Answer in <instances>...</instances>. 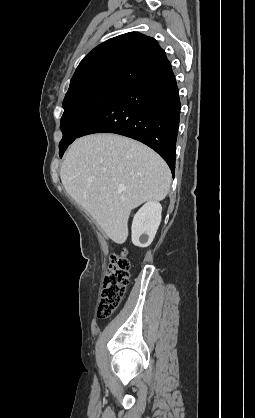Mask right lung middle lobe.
I'll list each match as a JSON object with an SVG mask.
<instances>
[{"instance_id":"1","label":"right lung middle lobe","mask_w":255,"mask_h":418,"mask_svg":"<svg viewBox=\"0 0 255 418\" xmlns=\"http://www.w3.org/2000/svg\"><path fill=\"white\" fill-rule=\"evenodd\" d=\"M125 87L126 85L120 83L96 81L76 86L66 94L61 118L63 138L59 143V155L106 103Z\"/></svg>"}]
</instances>
